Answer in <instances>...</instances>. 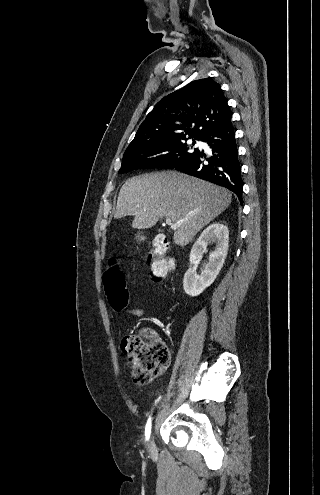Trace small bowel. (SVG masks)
Returning a JSON list of instances; mask_svg holds the SVG:
<instances>
[{
	"instance_id": "small-bowel-1",
	"label": "small bowel",
	"mask_w": 320,
	"mask_h": 495,
	"mask_svg": "<svg viewBox=\"0 0 320 495\" xmlns=\"http://www.w3.org/2000/svg\"><path fill=\"white\" fill-rule=\"evenodd\" d=\"M144 313V310L141 308H129L125 310V314L135 317H142Z\"/></svg>"
}]
</instances>
